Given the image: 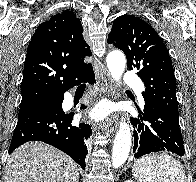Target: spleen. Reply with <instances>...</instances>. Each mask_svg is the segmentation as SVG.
<instances>
[{
	"label": "spleen",
	"mask_w": 196,
	"mask_h": 182,
	"mask_svg": "<svg viewBox=\"0 0 196 182\" xmlns=\"http://www.w3.org/2000/svg\"><path fill=\"white\" fill-rule=\"evenodd\" d=\"M139 182H187L182 164L166 153H153L138 159L132 167Z\"/></svg>",
	"instance_id": "spleen-1"
}]
</instances>
